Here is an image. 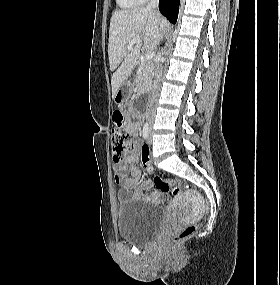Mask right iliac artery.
I'll use <instances>...</instances> for the list:
<instances>
[{
  "mask_svg": "<svg viewBox=\"0 0 280 285\" xmlns=\"http://www.w3.org/2000/svg\"><path fill=\"white\" fill-rule=\"evenodd\" d=\"M148 134H149V125L148 123H145L143 130H142V136L144 139L148 138Z\"/></svg>",
  "mask_w": 280,
  "mask_h": 285,
  "instance_id": "1",
  "label": "right iliac artery"
}]
</instances>
